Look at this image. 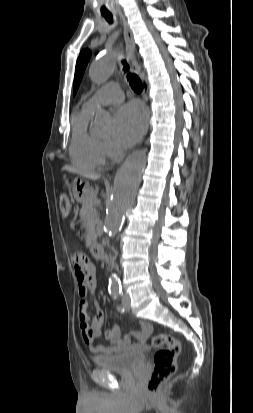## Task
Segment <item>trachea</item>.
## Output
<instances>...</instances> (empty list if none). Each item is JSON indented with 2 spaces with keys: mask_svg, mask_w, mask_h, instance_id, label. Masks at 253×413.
Masks as SVG:
<instances>
[{
  "mask_svg": "<svg viewBox=\"0 0 253 413\" xmlns=\"http://www.w3.org/2000/svg\"><path fill=\"white\" fill-rule=\"evenodd\" d=\"M103 17L106 19L107 22L112 23L113 17L110 14H103ZM124 64V71L127 72L129 70V66L125 60L122 61ZM127 79L129 81V84L131 88L136 92L140 93L143 90V84L140 80V78L136 74L128 73L127 74Z\"/></svg>",
  "mask_w": 253,
  "mask_h": 413,
  "instance_id": "trachea-1",
  "label": "trachea"
}]
</instances>
